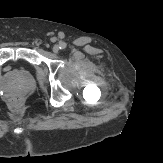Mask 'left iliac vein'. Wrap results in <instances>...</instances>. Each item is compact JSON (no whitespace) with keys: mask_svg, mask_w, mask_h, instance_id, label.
Instances as JSON below:
<instances>
[{"mask_svg":"<svg viewBox=\"0 0 163 163\" xmlns=\"http://www.w3.org/2000/svg\"><path fill=\"white\" fill-rule=\"evenodd\" d=\"M52 50L54 53H58L59 52V46L55 45Z\"/></svg>","mask_w":163,"mask_h":163,"instance_id":"4c4485c4","label":"left iliac vein"}]
</instances>
